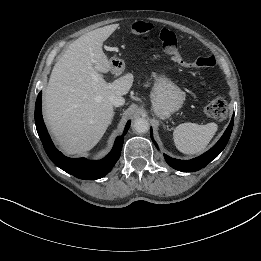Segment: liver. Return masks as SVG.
<instances>
[{
	"label": "liver",
	"mask_w": 261,
	"mask_h": 261,
	"mask_svg": "<svg viewBox=\"0 0 261 261\" xmlns=\"http://www.w3.org/2000/svg\"><path fill=\"white\" fill-rule=\"evenodd\" d=\"M108 27L90 31L69 45L55 64L44 92V117L55 140L69 155L92 149L111 124V95H125L131 74L107 83L100 73L111 64L102 50Z\"/></svg>",
	"instance_id": "obj_1"
}]
</instances>
